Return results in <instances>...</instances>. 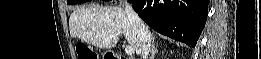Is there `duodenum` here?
Here are the masks:
<instances>
[{"label":"duodenum","instance_id":"duodenum-1","mask_svg":"<svg viewBox=\"0 0 261 59\" xmlns=\"http://www.w3.org/2000/svg\"><path fill=\"white\" fill-rule=\"evenodd\" d=\"M110 59H128V57H124L118 54L110 53Z\"/></svg>","mask_w":261,"mask_h":59}]
</instances>
